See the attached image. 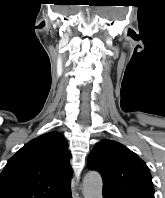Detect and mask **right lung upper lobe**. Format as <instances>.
Returning a JSON list of instances; mask_svg holds the SVG:
<instances>
[{
    "label": "right lung upper lobe",
    "instance_id": "right-lung-upper-lobe-1",
    "mask_svg": "<svg viewBox=\"0 0 165 198\" xmlns=\"http://www.w3.org/2000/svg\"><path fill=\"white\" fill-rule=\"evenodd\" d=\"M67 142L59 132L45 133L9 159L0 175V198H65L72 168Z\"/></svg>",
    "mask_w": 165,
    "mask_h": 198
}]
</instances>
